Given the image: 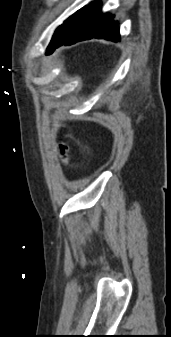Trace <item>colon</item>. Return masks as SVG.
Here are the masks:
<instances>
[{"instance_id": "1", "label": "colon", "mask_w": 171, "mask_h": 337, "mask_svg": "<svg viewBox=\"0 0 171 337\" xmlns=\"http://www.w3.org/2000/svg\"><path fill=\"white\" fill-rule=\"evenodd\" d=\"M58 153L60 156L61 161L63 162V164L67 167L70 166V156H69V149L68 146L61 142L58 145Z\"/></svg>"}]
</instances>
